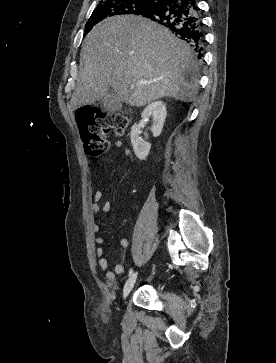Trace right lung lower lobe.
I'll return each instance as SVG.
<instances>
[{
    "label": "right lung lower lobe",
    "instance_id": "right-lung-lower-lobe-1",
    "mask_svg": "<svg viewBox=\"0 0 276 363\" xmlns=\"http://www.w3.org/2000/svg\"><path fill=\"white\" fill-rule=\"evenodd\" d=\"M141 16L165 26L196 52L204 44L203 23L196 0H158ZM201 53L199 54V58Z\"/></svg>",
    "mask_w": 276,
    "mask_h": 363
}]
</instances>
